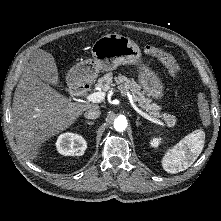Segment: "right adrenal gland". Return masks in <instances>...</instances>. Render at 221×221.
<instances>
[{"instance_id":"1","label":"right adrenal gland","mask_w":221,"mask_h":221,"mask_svg":"<svg viewBox=\"0 0 221 221\" xmlns=\"http://www.w3.org/2000/svg\"><path fill=\"white\" fill-rule=\"evenodd\" d=\"M85 123L88 124V125H94L93 121H85Z\"/></svg>"}]
</instances>
